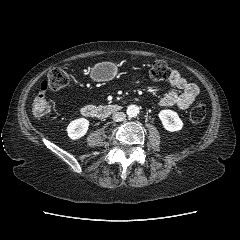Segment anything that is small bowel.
Here are the masks:
<instances>
[{
  "label": "small bowel",
  "instance_id": "obj_1",
  "mask_svg": "<svg viewBox=\"0 0 240 240\" xmlns=\"http://www.w3.org/2000/svg\"><path fill=\"white\" fill-rule=\"evenodd\" d=\"M168 81L174 87V90H171L159 100V107L175 106L180 110H185L199 99L200 90L198 86L188 82L177 70L171 71Z\"/></svg>",
  "mask_w": 240,
  "mask_h": 240
}]
</instances>
